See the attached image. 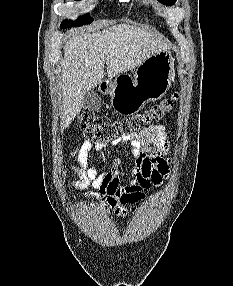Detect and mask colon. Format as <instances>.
I'll return each mask as SVG.
<instances>
[{
    "label": "colon",
    "instance_id": "5ec220e1",
    "mask_svg": "<svg viewBox=\"0 0 233 286\" xmlns=\"http://www.w3.org/2000/svg\"><path fill=\"white\" fill-rule=\"evenodd\" d=\"M177 94L151 106L148 110L130 118L106 120L90 109H83L78 116L79 127L85 136L99 143H113L140 133L152 122L162 120L173 108ZM142 194L134 199V205L140 202Z\"/></svg>",
    "mask_w": 233,
    "mask_h": 286
}]
</instances>
